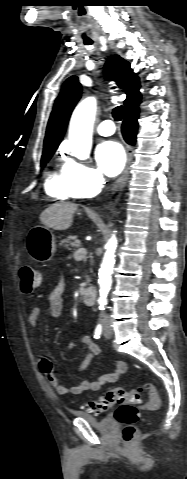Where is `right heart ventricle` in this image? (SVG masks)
I'll use <instances>...</instances> for the list:
<instances>
[{"label":"right heart ventricle","mask_w":187,"mask_h":479,"mask_svg":"<svg viewBox=\"0 0 187 479\" xmlns=\"http://www.w3.org/2000/svg\"><path fill=\"white\" fill-rule=\"evenodd\" d=\"M45 191L50 197L58 200L76 197L65 178L63 170H52L48 173L45 180Z\"/></svg>","instance_id":"right-heart-ventricle-1"}]
</instances>
